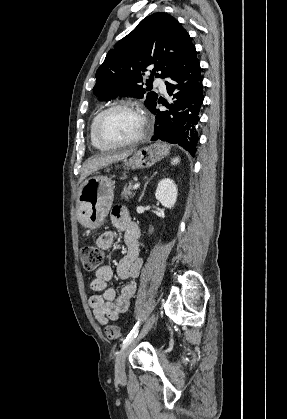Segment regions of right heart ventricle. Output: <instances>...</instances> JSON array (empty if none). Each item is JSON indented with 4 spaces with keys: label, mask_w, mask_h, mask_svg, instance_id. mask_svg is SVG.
Masks as SVG:
<instances>
[{
    "label": "right heart ventricle",
    "mask_w": 287,
    "mask_h": 419,
    "mask_svg": "<svg viewBox=\"0 0 287 419\" xmlns=\"http://www.w3.org/2000/svg\"><path fill=\"white\" fill-rule=\"evenodd\" d=\"M98 115H99V113H97V114L93 117V119H92V121H91L90 128H89V139H90V143H91V145H92L94 148H96V149H98V150L106 151V150H109L110 148H109V147H106V146H104V145H102V144H101V143H100V142L96 139V136H95V133H94V126H95V122H96V119H97Z\"/></svg>",
    "instance_id": "right-heart-ventricle-1"
}]
</instances>
